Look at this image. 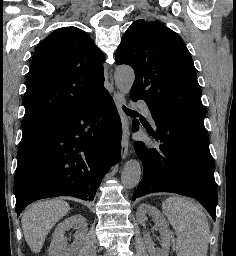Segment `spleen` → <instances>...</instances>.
I'll return each instance as SVG.
<instances>
[{"mask_svg": "<svg viewBox=\"0 0 236 256\" xmlns=\"http://www.w3.org/2000/svg\"><path fill=\"white\" fill-rule=\"evenodd\" d=\"M177 238V256H207L209 246L208 220L201 208L187 198L172 196L162 204Z\"/></svg>", "mask_w": 236, "mask_h": 256, "instance_id": "1", "label": "spleen"}]
</instances>
